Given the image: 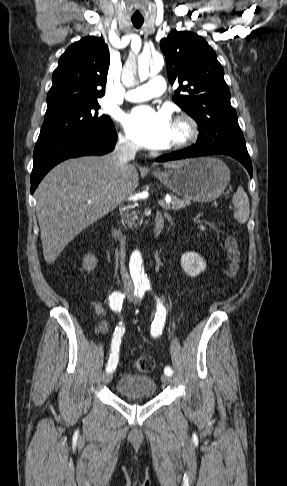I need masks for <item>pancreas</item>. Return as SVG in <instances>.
Returning <instances> with one entry per match:
<instances>
[{
	"mask_svg": "<svg viewBox=\"0 0 287 486\" xmlns=\"http://www.w3.org/2000/svg\"><path fill=\"white\" fill-rule=\"evenodd\" d=\"M172 204L169 205L166 209L167 210H180L185 208L187 205H190V200L188 199H180L174 195H171ZM137 214L135 212L132 213H125L122 216V223L127 224L128 227H132L135 225V221L137 220Z\"/></svg>",
	"mask_w": 287,
	"mask_h": 486,
	"instance_id": "obj_1",
	"label": "pancreas"
}]
</instances>
